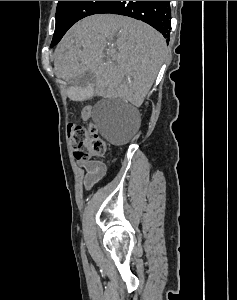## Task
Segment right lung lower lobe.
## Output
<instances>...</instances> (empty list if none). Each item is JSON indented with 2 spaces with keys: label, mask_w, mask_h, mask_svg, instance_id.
<instances>
[{
  "label": "right lung lower lobe",
  "mask_w": 237,
  "mask_h": 300,
  "mask_svg": "<svg viewBox=\"0 0 237 300\" xmlns=\"http://www.w3.org/2000/svg\"><path fill=\"white\" fill-rule=\"evenodd\" d=\"M102 13L125 15L142 20L162 33L165 38L169 37L170 1H107L95 14Z\"/></svg>",
  "instance_id": "right-lung-lower-lobe-1"
}]
</instances>
